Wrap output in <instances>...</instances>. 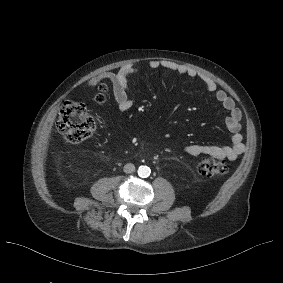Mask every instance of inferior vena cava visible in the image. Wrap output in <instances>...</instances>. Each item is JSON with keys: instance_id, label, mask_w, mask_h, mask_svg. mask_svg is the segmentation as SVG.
<instances>
[{"instance_id": "obj_1", "label": "inferior vena cava", "mask_w": 283, "mask_h": 283, "mask_svg": "<svg viewBox=\"0 0 283 283\" xmlns=\"http://www.w3.org/2000/svg\"><path fill=\"white\" fill-rule=\"evenodd\" d=\"M125 173H133L135 171V166L132 163L125 164L123 167Z\"/></svg>"}]
</instances>
